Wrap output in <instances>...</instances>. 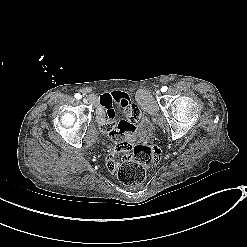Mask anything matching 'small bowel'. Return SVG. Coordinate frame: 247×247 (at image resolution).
Returning <instances> with one entry per match:
<instances>
[{
    "label": "small bowel",
    "instance_id": "obj_1",
    "mask_svg": "<svg viewBox=\"0 0 247 247\" xmlns=\"http://www.w3.org/2000/svg\"><path fill=\"white\" fill-rule=\"evenodd\" d=\"M101 105L103 107V111L97 110L98 121L101 125H109L114 122V120L120 115L121 109H123L126 105H129L126 97L120 92H112L105 94L101 97ZM133 110L128 116V120H120L114 132H110L112 135V140L115 143H122L125 140V137L131 138L134 130V126L132 122L137 121L140 118V110L136 105H132ZM104 136H107V133H104ZM116 152H124L126 150V146L124 144H117L114 147ZM106 164L105 167L108 171L113 172L116 170L117 165L115 163L116 158L114 155L109 154L105 158Z\"/></svg>",
    "mask_w": 247,
    "mask_h": 247
}]
</instances>
